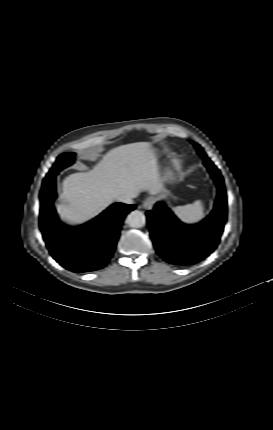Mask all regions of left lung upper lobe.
Masks as SVG:
<instances>
[{"label": "left lung upper lobe", "instance_id": "1", "mask_svg": "<svg viewBox=\"0 0 273 430\" xmlns=\"http://www.w3.org/2000/svg\"><path fill=\"white\" fill-rule=\"evenodd\" d=\"M192 144L195 146V148H196V150H197V153H198V154H199L203 159L208 158V157H207V155H206V153L204 152L203 148H202L199 144H197L196 142H193V141H192Z\"/></svg>", "mask_w": 273, "mask_h": 430}]
</instances>
